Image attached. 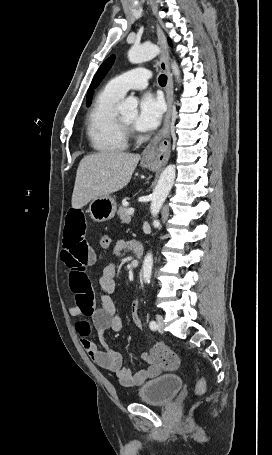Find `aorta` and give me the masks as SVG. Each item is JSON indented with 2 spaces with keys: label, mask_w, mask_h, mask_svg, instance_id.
I'll use <instances>...</instances> for the list:
<instances>
[{
  "label": "aorta",
  "mask_w": 272,
  "mask_h": 455,
  "mask_svg": "<svg viewBox=\"0 0 272 455\" xmlns=\"http://www.w3.org/2000/svg\"><path fill=\"white\" fill-rule=\"evenodd\" d=\"M159 53L160 49L157 45L144 43L140 46H133L128 51V59L131 63L138 64L155 58ZM171 68L176 80L179 82L180 71L178 65L175 62H172ZM137 105V99L130 96L122 102L119 109L122 114H129L136 111ZM175 176L176 170L175 166L172 164L168 165L161 173L151 199L150 210L153 217H157L160 212V209L162 208L163 203L165 202L174 184ZM152 267L153 256L151 253H148L144 258L142 267L143 280L147 283H149L151 279Z\"/></svg>",
  "instance_id": "obj_1"
}]
</instances>
